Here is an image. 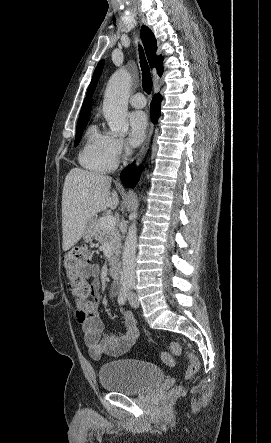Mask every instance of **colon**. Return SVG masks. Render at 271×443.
<instances>
[{
    "mask_svg": "<svg viewBox=\"0 0 271 443\" xmlns=\"http://www.w3.org/2000/svg\"><path fill=\"white\" fill-rule=\"evenodd\" d=\"M92 260V251L87 246H78L65 252L62 256V265L66 278L69 282L71 294L78 300H81L88 311L93 309L92 304V285L85 278L83 270L90 265ZM170 352H162V361L168 365L173 366L175 363L174 357L186 354L189 359V366L186 371V377L194 376L200 367L198 358L191 352H186L183 346L178 342L170 344ZM180 388H175L167 397L168 400L174 398L180 393Z\"/></svg>",
    "mask_w": 271,
    "mask_h": 443,
    "instance_id": "5ec220e1",
    "label": "colon"
}]
</instances>
